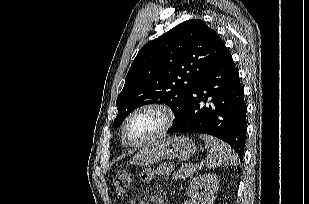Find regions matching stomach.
Returning <instances> with one entry per match:
<instances>
[{"mask_svg":"<svg viewBox=\"0 0 309 204\" xmlns=\"http://www.w3.org/2000/svg\"><path fill=\"white\" fill-rule=\"evenodd\" d=\"M196 152L195 143L186 136L154 140L143 146L130 161L134 165H150L166 159L187 160Z\"/></svg>","mask_w":309,"mask_h":204,"instance_id":"stomach-1","label":"stomach"}]
</instances>
